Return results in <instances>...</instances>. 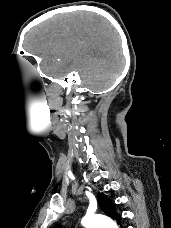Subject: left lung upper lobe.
Instances as JSON below:
<instances>
[{"label": "left lung upper lobe", "instance_id": "obj_1", "mask_svg": "<svg viewBox=\"0 0 171 228\" xmlns=\"http://www.w3.org/2000/svg\"><path fill=\"white\" fill-rule=\"evenodd\" d=\"M99 207L106 215L115 219L119 224L121 221V216L115 211L114 204L107 198L106 195L100 193L97 196ZM53 228H61V226H55Z\"/></svg>", "mask_w": 171, "mask_h": 228}]
</instances>
